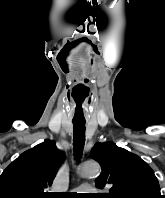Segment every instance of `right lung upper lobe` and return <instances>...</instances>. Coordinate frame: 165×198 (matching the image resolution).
I'll return each mask as SVG.
<instances>
[{"label":"right lung upper lobe","instance_id":"cb5924a9","mask_svg":"<svg viewBox=\"0 0 165 198\" xmlns=\"http://www.w3.org/2000/svg\"><path fill=\"white\" fill-rule=\"evenodd\" d=\"M64 154L46 140L22 153L0 176V198H51L47 190L62 164Z\"/></svg>","mask_w":165,"mask_h":198}]
</instances>
